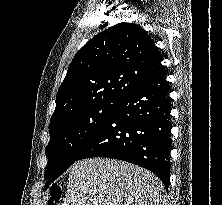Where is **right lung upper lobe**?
I'll return each instance as SVG.
<instances>
[{
  "instance_id": "obj_1",
  "label": "right lung upper lobe",
  "mask_w": 222,
  "mask_h": 205,
  "mask_svg": "<svg viewBox=\"0 0 222 205\" xmlns=\"http://www.w3.org/2000/svg\"><path fill=\"white\" fill-rule=\"evenodd\" d=\"M162 58L139 25L119 23L89 40L73 58L50 124L91 105L121 101L164 71Z\"/></svg>"
}]
</instances>
